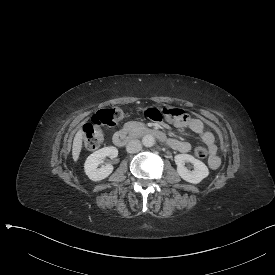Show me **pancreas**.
<instances>
[{
  "mask_svg": "<svg viewBox=\"0 0 275 275\" xmlns=\"http://www.w3.org/2000/svg\"><path fill=\"white\" fill-rule=\"evenodd\" d=\"M145 124L137 121H130L124 124L123 130L128 133H135L144 130Z\"/></svg>",
  "mask_w": 275,
  "mask_h": 275,
  "instance_id": "obj_1",
  "label": "pancreas"
}]
</instances>
